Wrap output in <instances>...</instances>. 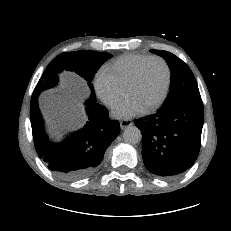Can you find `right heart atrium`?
<instances>
[{"label":"right heart atrium","instance_id":"1","mask_svg":"<svg viewBox=\"0 0 231 231\" xmlns=\"http://www.w3.org/2000/svg\"><path fill=\"white\" fill-rule=\"evenodd\" d=\"M94 88L98 97L108 107L115 106L125 94V90L104 68L97 72L94 79Z\"/></svg>","mask_w":231,"mask_h":231}]
</instances>
